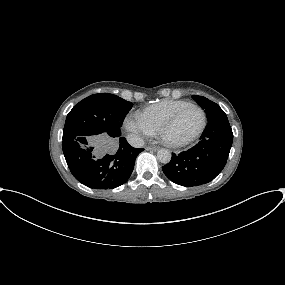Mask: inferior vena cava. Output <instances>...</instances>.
<instances>
[{"mask_svg": "<svg viewBox=\"0 0 285 285\" xmlns=\"http://www.w3.org/2000/svg\"><path fill=\"white\" fill-rule=\"evenodd\" d=\"M127 141L132 147L135 148H141L142 146H144V140L136 135H128Z\"/></svg>", "mask_w": 285, "mask_h": 285, "instance_id": "inferior-vena-cava-1", "label": "inferior vena cava"}]
</instances>
